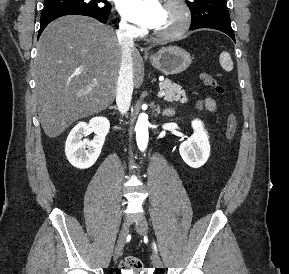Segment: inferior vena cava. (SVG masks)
I'll return each mask as SVG.
<instances>
[{"label":"inferior vena cava","mask_w":289,"mask_h":274,"mask_svg":"<svg viewBox=\"0 0 289 274\" xmlns=\"http://www.w3.org/2000/svg\"><path fill=\"white\" fill-rule=\"evenodd\" d=\"M116 34L122 51L116 88V104L120 113L125 114L130 107L134 85L131 58V47L134 45V30L130 26L121 25Z\"/></svg>","instance_id":"inferior-vena-cava-1"}]
</instances>
